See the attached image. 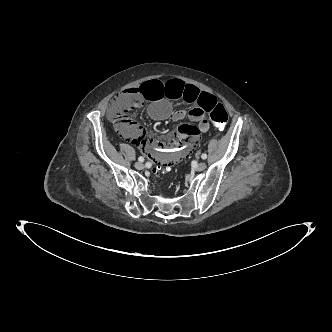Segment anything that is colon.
Here are the masks:
<instances>
[{"instance_id":"colon-1","label":"colon","mask_w":332,"mask_h":332,"mask_svg":"<svg viewBox=\"0 0 332 332\" xmlns=\"http://www.w3.org/2000/svg\"><path fill=\"white\" fill-rule=\"evenodd\" d=\"M142 104L143 99L140 96L139 89L134 88L123 91L112 100L109 106V115L120 132H129L133 129L132 116L141 108ZM209 112L210 118L216 127L223 128L227 124L228 113L222 104L216 102ZM195 131L197 133L196 129ZM178 161L169 167H162L158 164L154 167L153 172L156 176L164 175L171 171Z\"/></svg>"}]
</instances>
